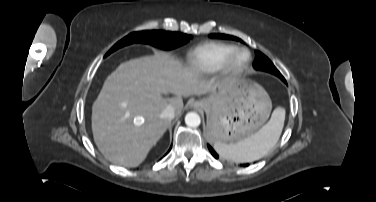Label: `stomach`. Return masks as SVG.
<instances>
[{"mask_svg": "<svg viewBox=\"0 0 376 202\" xmlns=\"http://www.w3.org/2000/svg\"><path fill=\"white\" fill-rule=\"evenodd\" d=\"M207 114V134L212 142L234 143L253 135L268 119L271 100L259 85L231 80L218 92L196 101Z\"/></svg>", "mask_w": 376, "mask_h": 202, "instance_id": "obj_1", "label": "stomach"}]
</instances>
